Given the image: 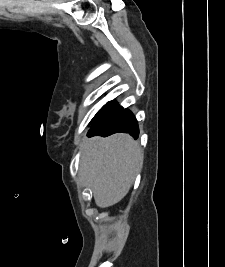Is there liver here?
<instances>
[{"label":"liver","mask_w":225,"mask_h":267,"mask_svg":"<svg viewBox=\"0 0 225 267\" xmlns=\"http://www.w3.org/2000/svg\"><path fill=\"white\" fill-rule=\"evenodd\" d=\"M143 159L138 142L128 134L93 137L83 145L79 176L98 207L113 206L129 192Z\"/></svg>","instance_id":"1"}]
</instances>
